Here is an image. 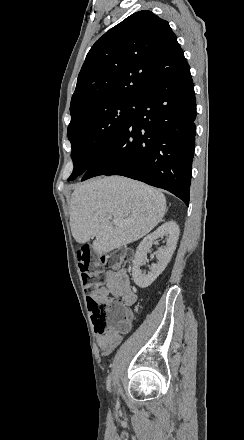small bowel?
<instances>
[{"mask_svg":"<svg viewBox=\"0 0 244 440\" xmlns=\"http://www.w3.org/2000/svg\"><path fill=\"white\" fill-rule=\"evenodd\" d=\"M114 296L123 303L133 305L137 300V295L132 288L130 278L125 269L117 271L107 270L103 274V283L92 293L88 295L89 299L106 300L108 296ZM133 320V317H132ZM132 326L130 327V329ZM123 338H113L105 332L97 336V344L105 355L110 354L120 345Z\"/></svg>","mask_w":244,"mask_h":440,"instance_id":"c3829d8e","label":"small bowel"}]
</instances>
